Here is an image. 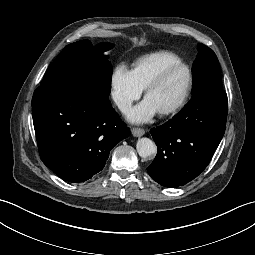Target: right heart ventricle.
I'll list each match as a JSON object with an SVG mask.
<instances>
[{"label":"right heart ventricle","mask_w":255,"mask_h":255,"mask_svg":"<svg viewBox=\"0 0 255 255\" xmlns=\"http://www.w3.org/2000/svg\"><path fill=\"white\" fill-rule=\"evenodd\" d=\"M177 61L180 58L171 51H156L140 57L132 71L142 88H145L165 66Z\"/></svg>","instance_id":"right-heart-ventricle-1"}]
</instances>
